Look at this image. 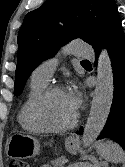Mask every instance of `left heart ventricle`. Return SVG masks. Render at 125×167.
Instances as JSON below:
<instances>
[{"label": "left heart ventricle", "instance_id": "1", "mask_svg": "<svg viewBox=\"0 0 125 167\" xmlns=\"http://www.w3.org/2000/svg\"><path fill=\"white\" fill-rule=\"evenodd\" d=\"M75 113L76 110L71 106L65 91L51 95L43 108L45 121L55 127L67 124Z\"/></svg>", "mask_w": 125, "mask_h": 167}]
</instances>
